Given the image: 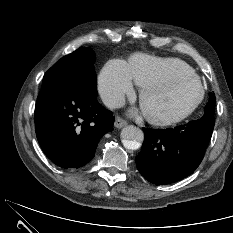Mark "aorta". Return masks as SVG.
<instances>
[{
  "mask_svg": "<svg viewBox=\"0 0 233 233\" xmlns=\"http://www.w3.org/2000/svg\"><path fill=\"white\" fill-rule=\"evenodd\" d=\"M121 138L127 149L136 150L140 148L141 142L144 140V133L140 128L128 125L122 129Z\"/></svg>",
  "mask_w": 233,
  "mask_h": 233,
  "instance_id": "762f6f07",
  "label": "aorta"
}]
</instances>
